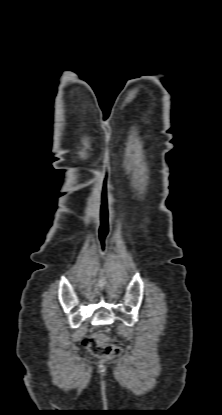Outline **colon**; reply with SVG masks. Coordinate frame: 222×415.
<instances>
[{
	"instance_id": "obj_1",
	"label": "colon",
	"mask_w": 222,
	"mask_h": 415,
	"mask_svg": "<svg viewBox=\"0 0 222 415\" xmlns=\"http://www.w3.org/2000/svg\"><path fill=\"white\" fill-rule=\"evenodd\" d=\"M82 345L96 356H109L120 351L115 340L103 336H87L82 339Z\"/></svg>"
}]
</instances>
